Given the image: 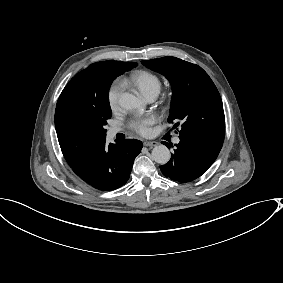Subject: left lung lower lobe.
Returning a JSON list of instances; mask_svg holds the SVG:
<instances>
[{"label": "left lung lower lobe", "mask_w": 283, "mask_h": 283, "mask_svg": "<svg viewBox=\"0 0 283 283\" xmlns=\"http://www.w3.org/2000/svg\"><path fill=\"white\" fill-rule=\"evenodd\" d=\"M179 138L180 142L175 144L176 149L170 161L160 166V169L165 177L179 182H190L208 170L216 160L222 144L191 137Z\"/></svg>", "instance_id": "0a47b994"}]
</instances>
